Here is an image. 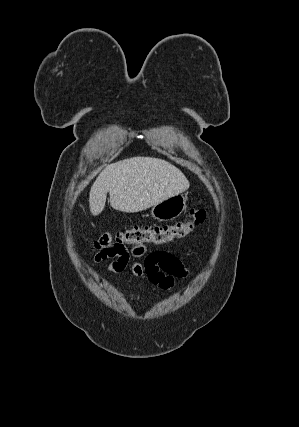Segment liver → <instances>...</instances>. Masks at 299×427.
<instances>
[{"instance_id": "liver-1", "label": "liver", "mask_w": 299, "mask_h": 427, "mask_svg": "<svg viewBox=\"0 0 299 427\" xmlns=\"http://www.w3.org/2000/svg\"><path fill=\"white\" fill-rule=\"evenodd\" d=\"M185 175L169 162L152 157H133L110 164L91 187L89 208L99 215L110 194V205L134 213L152 207L189 188Z\"/></svg>"}]
</instances>
